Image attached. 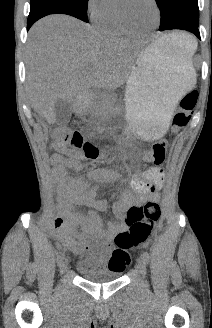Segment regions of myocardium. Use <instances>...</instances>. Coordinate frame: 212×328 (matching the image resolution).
Instances as JSON below:
<instances>
[{
  "mask_svg": "<svg viewBox=\"0 0 212 328\" xmlns=\"http://www.w3.org/2000/svg\"><path fill=\"white\" fill-rule=\"evenodd\" d=\"M121 1L122 0H118V6H117V14H118V17L122 23V25L131 33H135V34H146V33H149L153 30H155L159 24H160V21H161V10H160V6L157 2V0H150L151 3L153 4L155 10H156V14H157V20H156V23L152 26V27H149V28H145V29H139V28H136L134 27L127 19L124 11H123V8L121 6Z\"/></svg>",
  "mask_w": 212,
  "mask_h": 328,
  "instance_id": "myocardium-1",
  "label": "myocardium"
}]
</instances>
